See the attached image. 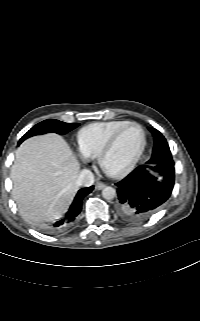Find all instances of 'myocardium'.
Returning a JSON list of instances; mask_svg holds the SVG:
<instances>
[{
    "instance_id": "obj_1",
    "label": "myocardium",
    "mask_w": 200,
    "mask_h": 321,
    "mask_svg": "<svg viewBox=\"0 0 200 321\" xmlns=\"http://www.w3.org/2000/svg\"><path fill=\"white\" fill-rule=\"evenodd\" d=\"M131 126H135L140 129V131L142 133L141 145H140L137 153L134 155L132 160L129 162V164L125 168H123L122 170H119V171H110L107 169V167L105 165V159H106L107 155L111 152V150L114 148V146H115L118 138L122 134V132ZM146 143H147L146 132H145V129L143 128L142 125H140L139 123H136V122H129V123L123 125L122 127L117 129L112 134V136L108 139V141L105 143V145L100 150V152L97 156V160H98L100 168L109 177H112V178L125 177L134 169V167L138 163L139 159L141 158V156L146 148Z\"/></svg>"
}]
</instances>
